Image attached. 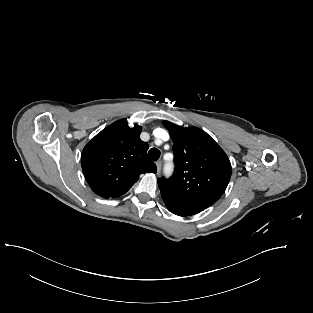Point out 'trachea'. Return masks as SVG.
I'll use <instances>...</instances> for the list:
<instances>
[{
  "mask_svg": "<svg viewBox=\"0 0 313 313\" xmlns=\"http://www.w3.org/2000/svg\"><path fill=\"white\" fill-rule=\"evenodd\" d=\"M148 157L152 161H157L160 157V151L156 148H151L148 152Z\"/></svg>",
  "mask_w": 313,
  "mask_h": 313,
  "instance_id": "trachea-1",
  "label": "trachea"
}]
</instances>
